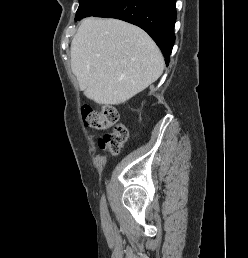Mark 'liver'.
Masks as SVG:
<instances>
[{
    "instance_id": "liver-1",
    "label": "liver",
    "mask_w": 248,
    "mask_h": 258,
    "mask_svg": "<svg viewBox=\"0 0 248 258\" xmlns=\"http://www.w3.org/2000/svg\"><path fill=\"white\" fill-rule=\"evenodd\" d=\"M71 69L87 98L125 103L162 74L163 56L139 27L117 19H84L71 43Z\"/></svg>"
}]
</instances>
